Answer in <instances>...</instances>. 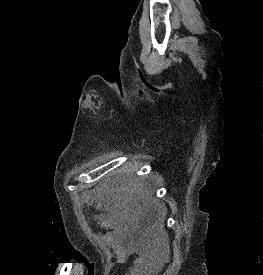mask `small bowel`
<instances>
[{
  "label": "small bowel",
  "instance_id": "obj_1",
  "mask_svg": "<svg viewBox=\"0 0 263 275\" xmlns=\"http://www.w3.org/2000/svg\"><path fill=\"white\" fill-rule=\"evenodd\" d=\"M99 225L113 230L106 234L107 239L117 238L120 240V243L115 248L118 263H124L131 253L137 252L133 265L123 275H148L149 272L155 270V267L149 263L146 256L140 251L138 245L128 240L121 230H117L111 220H100Z\"/></svg>",
  "mask_w": 263,
  "mask_h": 275
}]
</instances>
